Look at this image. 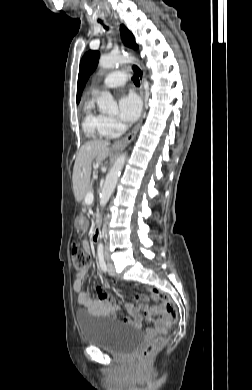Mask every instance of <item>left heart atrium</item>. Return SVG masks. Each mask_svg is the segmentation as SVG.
<instances>
[{
  "label": "left heart atrium",
  "mask_w": 252,
  "mask_h": 390,
  "mask_svg": "<svg viewBox=\"0 0 252 390\" xmlns=\"http://www.w3.org/2000/svg\"><path fill=\"white\" fill-rule=\"evenodd\" d=\"M141 112V101L133 93L124 94L118 101V117L125 123L134 122Z\"/></svg>",
  "instance_id": "obj_1"
}]
</instances>
